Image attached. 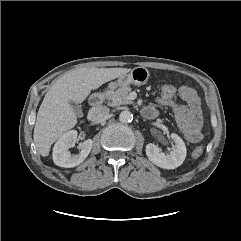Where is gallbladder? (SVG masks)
Instances as JSON below:
<instances>
[{
  "label": "gallbladder",
  "instance_id": "obj_1",
  "mask_svg": "<svg viewBox=\"0 0 241 241\" xmlns=\"http://www.w3.org/2000/svg\"><path fill=\"white\" fill-rule=\"evenodd\" d=\"M70 105L77 115H81L82 110H81V107L78 103H76L74 101H70Z\"/></svg>",
  "mask_w": 241,
  "mask_h": 241
}]
</instances>
